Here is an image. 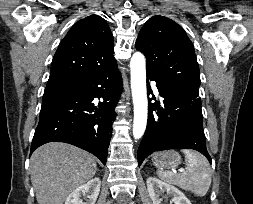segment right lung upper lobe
Returning a JSON list of instances; mask_svg holds the SVG:
<instances>
[{
  "instance_id": "obj_1",
  "label": "right lung upper lobe",
  "mask_w": 253,
  "mask_h": 204,
  "mask_svg": "<svg viewBox=\"0 0 253 204\" xmlns=\"http://www.w3.org/2000/svg\"><path fill=\"white\" fill-rule=\"evenodd\" d=\"M106 21L91 15L76 22L61 41L48 82H77L117 66Z\"/></svg>"
}]
</instances>
